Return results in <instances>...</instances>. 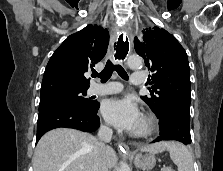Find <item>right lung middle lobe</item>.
Listing matches in <instances>:
<instances>
[{
	"instance_id": "1",
	"label": "right lung middle lobe",
	"mask_w": 223,
	"mask_h": 171,
	"mask_svg": "<svg viewBox=\"0 0 223 171\" xmlns=\"http://www.w3.org/2000/svg\"><path fill=\"white\" fill-rule=\"evenodd\" d=\"M86 90L71 91L54 94L44 98H40L39 110L54 105V104H75L87 109H93L96 106V101L85 98Z\"/></svg>"
}]
</instances>
